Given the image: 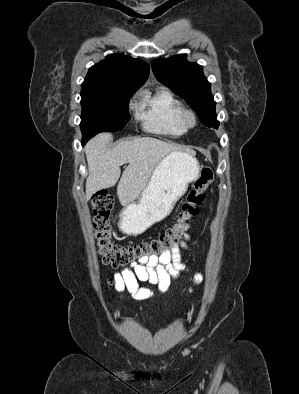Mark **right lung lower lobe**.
<instances>
[{
	"label": "right lung lower lobe",
	"mask_w": 299,
	"mask_h": 394,
	"mask_svg": "<svg viewBox=\"0 0 299 394\" xmlns=\"http://www.w3.org/2000/svg\"><path fill=\"white\" fill-rule=\"evenodd\" d=\"M85 142L82 140V144H84Z\"/></svg>",
	"instance_id": "98d812e1"
}]
</instances>
